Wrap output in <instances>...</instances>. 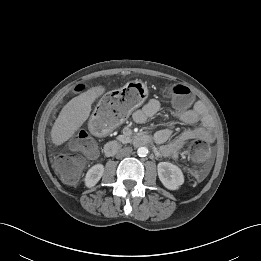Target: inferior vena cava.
<instances>
[{"instance_id":"1","label":"inferior vena cava","mask_w":261,"mask_h":261,"mask_svg":"<svg viewBox=\"0 0 261 261\" xmlns=\"http://www.w3.org/2000/svg\"><path fill=\"white\" fill-rule=\"evenodd\" d=\"M131 153H132V147H124L117 152L116 157L123 158L129 156Z\"/></svg>"}]
</instances>
